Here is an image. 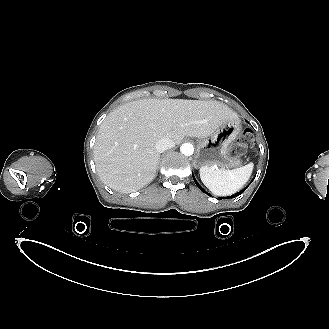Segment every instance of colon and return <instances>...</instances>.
<instances>
[{"label":"colon","instance_id":"5ec220e1","mask_svg":"<svg viewBox=\"0 0 329 329\" xmlns=\"http://www.w3.org/2000/svg\"><path fill=\"white\" fill-rule=\"evenodd\" d=\"M253 141V134L249 130H245L239 138V145L240 147L247 148L252 146Z\"/></svg>","mask_w":329,"mask_h":329}]
</instances>
